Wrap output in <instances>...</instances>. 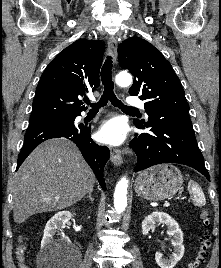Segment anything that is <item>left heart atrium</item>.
<instances>
[{"label": "left heart atrium", "mask_w": 221, "mask_h": 268, "mask_svg": "<svg viewBox=\"0 0 221 268\" xmlns=\"http://www.w3.org/2000/svg\"><path fill=\"white\" fill-rule=\"evenodd\" d=\"M126 138V127L124 123L113 118L104 122L97 132V139L108 145L116 146L124 142Z\"/></svg>", "instance_id": "1"}]
</instances>
